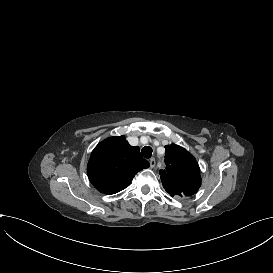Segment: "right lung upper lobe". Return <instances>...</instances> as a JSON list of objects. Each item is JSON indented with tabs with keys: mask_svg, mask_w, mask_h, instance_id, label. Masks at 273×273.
<instances>
[{
	"mask_svg": "<svg viewBox=\"0 0 273 273\" xmlns=\"http://www.w3.org/2000/svg\"><path fill=\"white\" fill-rule=\"evenodd\" d=\"M149 162L139 147L129 145L124 136L111 137L99 143L91 153L87 174L100 192L115 194L125 189L133 177Z\"/></svg>",
	"mask_w": 273,
	"mask_h": 273,
	"instance_id": "right-lung-upper-lobe-1",
	"label": "right lung upper lobe"
}]
</instances>
